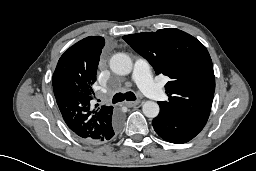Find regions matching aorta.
Listing matches in <instances>:
<instances>
[{
  "instance_id": "obj_1",
  "label": "aorta",
  "mask_w": 256,
  "mask_h": 171,
  "mask_svg": "<svg viewBox=\"0 0 256 171\" xmlns=\"http://www.w3.org/2000/svg\"><path fill=\"white\" fill-rule=\"evenodd\" d=\"M111 70L118 75L131 73L133 63L131 58L124 53H117L110 59ZM143 113L148 118H155L159 114V105L154 101H146L142 106Z\"/></svg>"
}]
</instances>
